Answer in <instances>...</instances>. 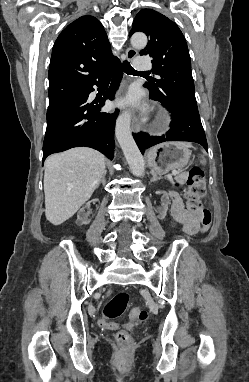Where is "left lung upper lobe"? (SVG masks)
<instances>
[{"label": "left lung upper lobe", "instance_id": "5c2ea615", "mask_svg": "<svg viewBox=\"0 0 249 382\" xmlns=\"http://www.w3.org/2000/svg\"><path fill=\"white\" fill-rule=\"evenodd\" d=\"M137 31L149 37L140 55L152 57L153 72L159 76L145 83L150 94L169 107L197 109L190 55L178 26L155 10L143 9L133 21L130 36Z\"/></svg>", "mask_w": 249, "mask_h": 382}]
</instances>
